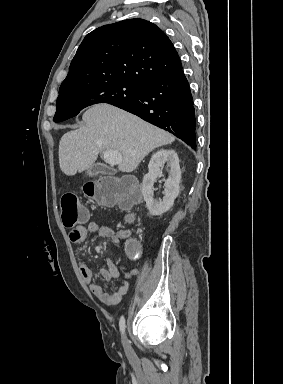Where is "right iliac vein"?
<instances>
[{
	"instance_id": "obj_1",
	"label": "right iliac vein",
	"mask_w": 283,
	"mask_h": 384,
	"mask_svg": "<svg viewBox=\"0 0 283 384\" xmlns=\"http://www.w3.org/2000/svg\"><path fill=\"white\" fill-rule=\"evenodd\" d=\"M122 343H123V347H124V350H125L126 354L128 356H132L133 355V351H132L130 342L128 341V339H127L125 334H123Z\"/></svg>"
}]
</instances>
